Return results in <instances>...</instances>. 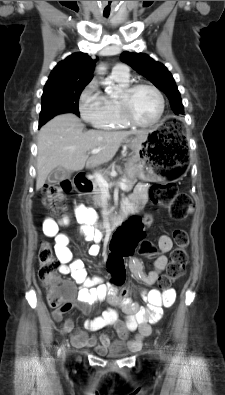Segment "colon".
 I'll return each instance as SVG.
<instances>
[{"label": "colon", "instance_id": "5ec220e1", "mask_svg": "<svg viewBox=\"0 0 225 395\" xmlns=\"http://www.w3.org/2000/svg\"><path fill=\"white\" fill-rule=\"evenodd\" d=\"M72 191L69 180H61L57 183L48 184L44 188V204L55 212H63L66 209L67 195ZM149 196L152 202L167 209L174 220H184L192 211L191 198L177 189L174 183L154 184L150 187ZM175 248L171 252L166 273L161 278L162 287L169 286L177 280L184 271L188 261L187 248L189 237L185 230L173 231ZM108 246L106 266L110 278L116 279L114 286L120 288L121 279L126 272L123 260L125 256H134L138 251L139 256H150L155 253L152 242L144 238L143 215H130L128 223H122L121 228L115 229ZM38 278L47 287V301L56 309L66 310L69 308V300L73 297L74 289L71 283L60 278L57 274L59 261L50 242L40 243Z\"/></svg>", "mask_w": 225, "mask_h": 395}]
</instances>
